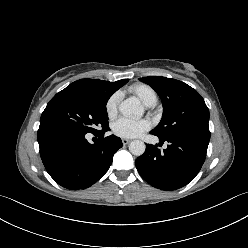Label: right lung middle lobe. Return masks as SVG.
<instances>
[{
  "label": "right lung middle lobe",
  "mask_w": 248,
  "mask_h": 248,
  "mask_svg": "<svg viewBox=\"0 0 248 248\" xmlns=\"http://www.w3.org/2000/svg\"><path fill=\"white\" fill-rule=\"evenodd\" d=\"M110 97L66 87L47 104L40 126H58L81 133L96 134L108 130L106 104Z\"/></svg>",
  "instance_id": "1"
}]
</instances>
